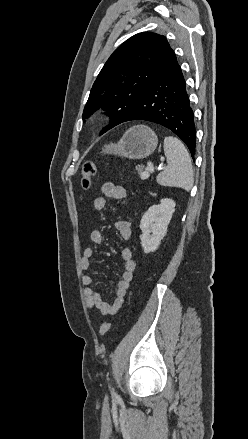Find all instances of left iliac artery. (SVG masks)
<instances>
[{
    "instance_id": "left-iliac-artery-1",
    "label": "left iliac artery",
    "mask_w": 248,
    "mask_h": 439,
    "mask_svg": "<svg viewBox=\"0 0 248 439\" xmlns=\"http://www.w3.org/2000/svg\"><path fill=\"white\" fill-rule=\"evenodd\" d=\"M112 394L116 395L115 392H114V390H112Z\"/></svg>"
}]
</instances>
